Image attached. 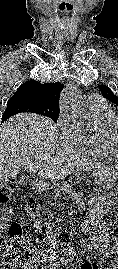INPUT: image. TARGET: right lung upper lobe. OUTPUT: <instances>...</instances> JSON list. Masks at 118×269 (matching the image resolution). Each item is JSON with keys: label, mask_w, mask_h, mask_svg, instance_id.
I'll list each match as a JSON object with an SVG mask.
<instances>
[{"label": "right lung upper lobe", "mask_w": 118, "mask_h": 269, "mask_svg": "<svg viewBox=\"0 0 118 269\" xmlns=\"http://www.w3.org/2000/svg\"><path fill=\"white\" fill-rule=\"evenodd\" d=\"M62 89L63 85L59 82L43 84L31 80L23 83L14 93V96H25L38 104L58 107L59 96Z\"/></svg>", "instance_id": "obj_1"}]
</instances>
